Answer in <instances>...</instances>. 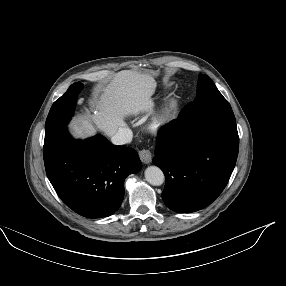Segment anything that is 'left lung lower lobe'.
Returning a JSON list of instances; mask_svg holds the SVG:
<instances>
[{
	"label": "left lung lower lobe",
	"mask_w": 286,
	"mask_h": 286,
	"mask_svg": "<svg viewBox=\"0 0 286 286\" xmlns=\"http://www.w3.org/2000/svg\"><path fill=\"white\" fill-rule=\"evenodd\" d=\"M238 148L236 122L185 121L180 113L160 131L153 158L165 175L166 206L190 213L211 204L229 181Z\"/></svg>",
	"instance_id": "0a47b994"
}]
</instances>
